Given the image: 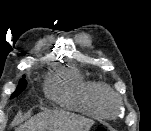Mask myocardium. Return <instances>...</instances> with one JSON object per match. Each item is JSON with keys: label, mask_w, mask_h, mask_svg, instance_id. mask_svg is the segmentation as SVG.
Segmentation results:
<instances>
[{"label": "myocardium", "mask_w": 151, "mask_h": 131, "mask_svg": "<svg viewBox=\"0 0 151 131\" xmlns=\"http://www.w3.org/2000/svg\"><path fill=\"white\" fill-rule=\"evenodd\" d=\"M122 101L118 94L107 90L101 98V106L106 116H115L121 107Z\"/></svg>", "instance_id": "1"}]
</instances>
